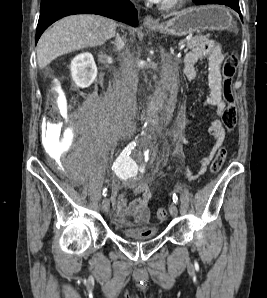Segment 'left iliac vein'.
<instances>
[{
  "instance_id": "left-iliac-vein-1",
  "label": "left iliac vein",
  "mask_w": 267,
  "mask_h": 298,
  "mask_svg": "<svg viewBox=\"0 0 267 298\" xmlns=\"http://www.w3.org/2000/svg\"><path fill=\"white\" fill-rule=\"evenodd\" d=\"M169 212H170V214H171L172 216H177V214H178V208H177V206H176L174 203H172V204L169 206Z\"/></svg>"
}]
</instances>
